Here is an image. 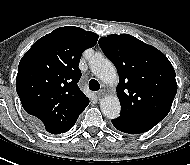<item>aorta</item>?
<instances>
[{
	"label": "aorta",
	"instance_id": "obj_1",
	"mask_svg": "<svg viewBox=\"0 0 190 165\" xmlns=\"http://www.w3.org/2000/svg\"><path fill=\"white\" fill-rule=\"evenodd\" d=\"M89 64L91 72L104 83L115 84L117 82L116 68L109 59L99 54L93 57ZM100 109L106 118H117L121 110L118 97L116 95L105 96L100 101Z\"/></svg>",
	"mask_w": 190,
	"mask_h": 165
}]
</instances>
